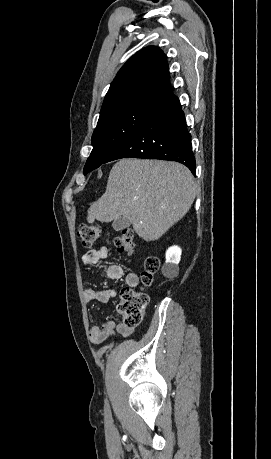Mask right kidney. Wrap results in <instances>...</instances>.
<instances>
[{
  "label": "right kidney",
  "mask_w": 271,
  "mask_h": 459,
  "mask_svg": "<svg viewBox=\"0 0 271 459\" xmlns=\"http://www.w3.org/2000/svg\"><path fill=\"white\" fill-rule=\"evenodd\" d=\"M182 249L179 245H171L166 251V261L162 267L165 277H176L179 273L178 263L181 259Z\"/></svg>",
  "instance_id": "obj_1"
}]
</instances>
